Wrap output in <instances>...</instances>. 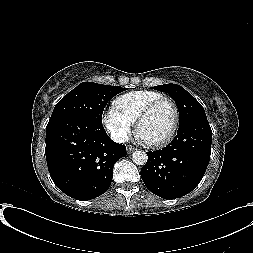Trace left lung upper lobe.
Returning <instances> with one entry per match:
<instances>
[{
  "instance_id": "obj_1",
  "label": "left lung upper lobe",
  "mask_w": 253,
  "mask_h": 253,
  "mask_svg": "<svg viewBox=\"0 0 253 253\" xmlns=\"http://www.w3.org/2000/svg\"><path fill=\"white\" fill-rule=\"evenodd\" d=\"M154 88L168 93L174 99L180 116L179 126L191 120L207 119L203 107L183 87L170 83Z\"/></svg>"
}]
</instances>
